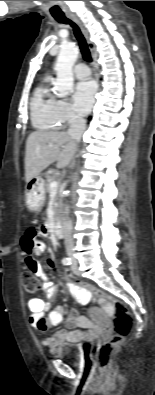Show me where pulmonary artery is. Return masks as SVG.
<instances>
[{
    "mask_svg": "<svg viewBox=\"0 0 155 395\" xmlns=\"http://www.w3.org/2000/svg\"><path fill=\"white\" fill-rule=\"evenodd\" d=\"M73 71L75 76L80 79H86L90 76V69L84 63L77 64Z\"/></svg>",
    "mask_w": 155,
    "mask_h": 395,
    "instance_id": "1",
    "label": "pulmonary artery"
}]
</instances>
